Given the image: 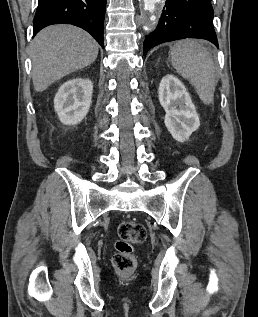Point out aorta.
Instances as JSON below:
<instances>
[{
    "instance_id": "1",
    "label": "aorta",
    "mask_w": 258,
    "mask_h": 317,
    "mask_svg": "<svg viewBox=\"0 0 258 317\" xmlns=\"http://www.w3.org/2000/svg\"><path fill=\"white\" fill-rule=\"evenodd\" d=\"M161 2V0H144V8L145 10L149 11L151 13V21L156 20V16L154 15V12L156 10L157 5Z\"/></svg>"
}]
</instances>
